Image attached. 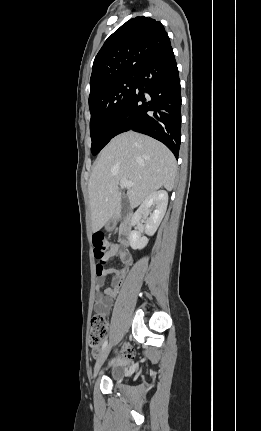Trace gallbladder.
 <instances>
[{
  "label": "gallbladder",
  "instance_id": "obj_1",
  "mask_svg": "<svg viewBox=\"0 0 261 431\" xmlns=\"http://www.w3.org/2000/svg\"><path fill=\"white\" fill-rule=\"evenodd\" d=\"M129 210H130L129 202L126 198H123L122 202H121V217H122V219L127 215Z\"/></svg>",
  "mask_w": 261,
  "mask_h": 431
}]
</instances>
